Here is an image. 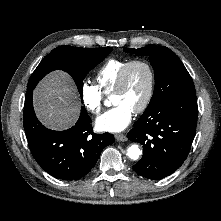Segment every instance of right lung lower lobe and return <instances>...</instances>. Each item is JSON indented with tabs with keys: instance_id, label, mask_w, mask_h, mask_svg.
Returning a JSON list of instances; mask_svg holds the SVG:
<instances>
[{
	"instance_id": "98d812e1",
	"label": "right lung lower lobe",
	"mask_w": 221,
	"mask_h": 221,
	"mask_svg": "<svg viewBox=\"0 0 221 221\" xmlns=\"http://www.w3.org/2000/svg\"><path fill=\"white\" fill-rule=\"evenodd\" d=\"M33 89H27L24 105V129L30 151L37 163L51 176L78 180L95 166L106 146L114 142L109 133H93L91 118L85 108L76 124L64 131L44 127L37 119L32 104Z\"/></svg>"
}]
</instances>
